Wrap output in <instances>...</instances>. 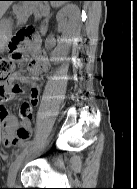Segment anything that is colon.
<instances>
[{
  "instance_id": "5ec220e1",
  "label": "colon",
  "mask_w": 137,
  "mask_h": 189,
  "mask_svg": "<svg viewBox=\"0 0 137 189\" xmlns=\"http://www.w3.org/2000/svg\"><path fill=\"white\" fill-rule=\"evenodd\" d=\"M34 38L35 31L31 28L20 29L12 36L8 44V56L0 57V85L10 77L14 62L21 60V47ZM22 107L27 109L28 114L32 113V107L29 104L23 103Z\"/></svg>"
}]
</instances>
